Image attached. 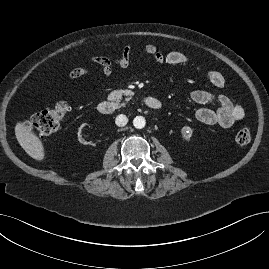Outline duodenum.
I'll return each mask as SVG.
<instances>
[{
    "mask_svg": "<svg viewBox=\"0 0 269 269\" xmlns=\"http://www.w3.org/2000/svg\"><path fill=\"white\" fill-rule=\"evenodd\" d=\"M142 103L152 111H159L162 108V103L159 99L147 96L141 99ZM96 110L103 115H111L116 112L117 106L111 101H101L97 104Z\"/></svg>",
    "mask_w": 269,
    "mask_h": 269,
    "instance_id": "obj_1",
    "label": "duodenum"
}]
</instances>
